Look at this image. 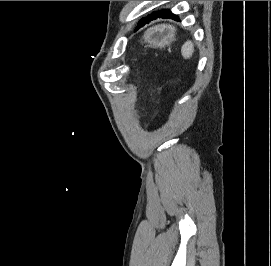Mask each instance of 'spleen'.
Returning <instances> with one entry per match:
<instances>
[{
  "label": "spleen",
  "instance_id": "obj_1",
  "mask_svg": "<svg viewBox=\"0 0 271 266\" xmlns=\"http://www.w3.org/2000/svg\"><path fill=\"white\" fill-rule=\"evenodd\" d=\"M194 52V45L192 43V41L190 40H187L182 48H181V53H182V56L185 58V59H189L190 57H192V54Z\"/></svg>",
  "mask_w": 271,
  "mask_h": 266
}]
</instances>
